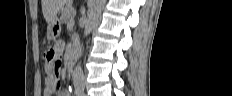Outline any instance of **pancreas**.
<instances>
[{
    "label": "pancreas",
    "mask_w": 232,
    "mask_h": 96,
    "mask_svg": "<svg viewBox=\"0 0 232 96\" xmlns=\"http://www.w3.org/2000/svg\"><path fill=\"white\" fill-rule=\"evenodd\" d=\"M75 14V9L73 7H65L63 9L62 15H61V20L63 23H66L70 19L74 17Z\"/></svg>",
    "instance_id": "cf45deb5"
}]
</instances>
